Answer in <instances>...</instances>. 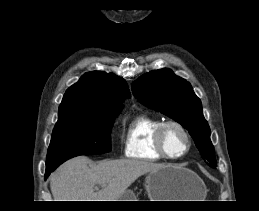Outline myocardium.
<instances>
[{"instance_id":"myocardium-1","label":"myocardium","mask_w":259,"mask_h":211,"mask_svg":"<svg viewBox=\"0 0 259 211\" xmlns=\"http://www.w3.org/2000/svg\"><path fill=\"white\" fill-rule=\"evenodd\" d=\"M171 126L179 129L186 139V148L184 149V151L182 153H180L179 155H176V156L170 155L167 152L165 142H164L165 131L168 127H171ZM191 146H192V137H191L189 131L186 129V127L183 124H181L180 122H178L176 120H168V121H163L158 126L156 133H155V147L158 150V152L165 159H169V160L181 159L190 151Z\"/></svg>"}]
</instances>
